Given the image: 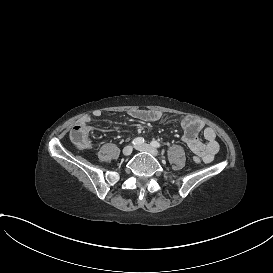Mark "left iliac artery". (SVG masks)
Masks as SVG:
<instances>
[{"label":"left iliac artery","instance_id":"obj_1","mask_svg":"<svg viewBox=\"0 0 273 273\" xmlns=\"http://www.w3.org/2000/svg\"><path fill=\"white\" fill-rule=\"evenodd\" d=\"M151 145H152L153 147H156V148H160V147H161L160 143L157 142V141H152V142H151Z\"/></svg>","mask_w":273,"mask_h":273}]
</instances>
